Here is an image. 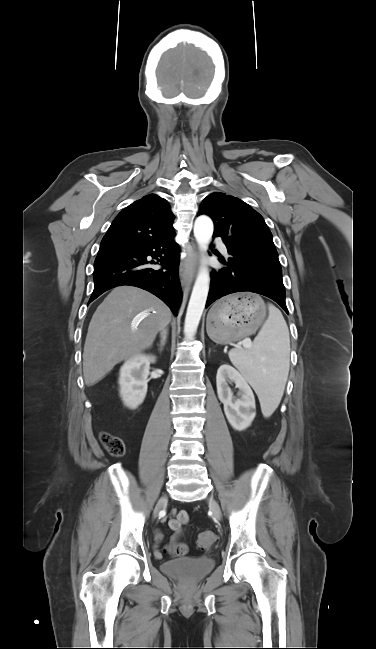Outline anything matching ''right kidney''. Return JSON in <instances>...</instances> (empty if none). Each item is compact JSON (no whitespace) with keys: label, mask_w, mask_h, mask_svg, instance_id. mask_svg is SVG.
<instances>
[{"label":"right kidney","mask_w":376,"mask_h":649,"mask_svg":"<svg viewBox=\"0 0 376 649\" xmlns=\"http://www.w3.org/2000/svg\"><path fill=\"white\" fill-rule=\"evenodd\" d=\"M156 358L145 354H137L127 360L120 369V396L125 406L136 409L143 403L147 393L150 364Z\"/></svg>","instance_id":"1"}]
</instances>
